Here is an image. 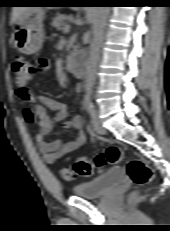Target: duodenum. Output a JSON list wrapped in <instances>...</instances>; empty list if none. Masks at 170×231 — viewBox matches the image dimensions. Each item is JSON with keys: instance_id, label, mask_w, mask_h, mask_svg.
I'll return each instance as SVG.
<instances>
[{"instance_id": "410a0bca", "label": "duodenum", "mask_w": 170, "mask_h": 231, "mask_svg": "<svg viewBox=\"0 0 170 231\" xmlns=\"http://www.w3.org/2000/svg\"><path fill=\"white\" fill-rule=\"evenodd\" d=\"M65 63L76 73L80 79L84 77L85 62L79 56L67 59Z\"/></svg>"}]
</instances>
